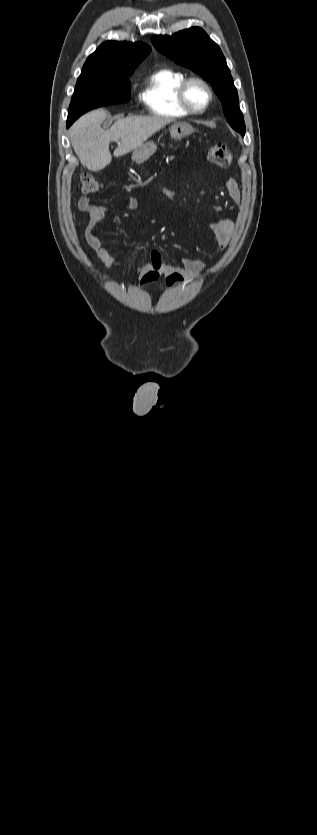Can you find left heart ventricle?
Wrapping results in <instances>:
<instances>
[{
    "instance_id": "left-heart-ventricle-1",
    "label": "left heart ventricle",
    "mask_w": 317,
    "mask_h": 835,
    "mask_svg": "<svg viewBox=\"0 0 317 835\" xmlns=\"http://www.w3.org/2000/svg\"><path fill=\"white\" fill-rule=\"evenodd\" d=\"M188 98L194 107L200 108L207 102L208 93L201 84L193 83L189 87Z\"/></svg>"
}]
</instances>
